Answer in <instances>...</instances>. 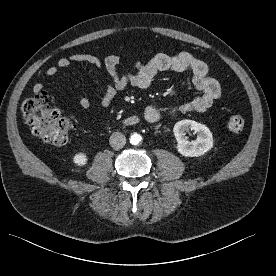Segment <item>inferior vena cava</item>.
Returning <instances> with one entry per match:
<instances>
[{"instance_id": "602c4592", "label": "inferior vena cava", "mask_w": 276, "mask_h": 276, "mask_svg": "<svg viewBox=\"0 0 276 276\" xmlns=\"http://www.w3.org/2000/svg\"><path fill=\"white\" fill-rule=\"evenodd\" d=\"M109 143L113 149H121L126 144V137L124 134L120 132H114L110 136Z\"/></svg>"}]
</instances>
